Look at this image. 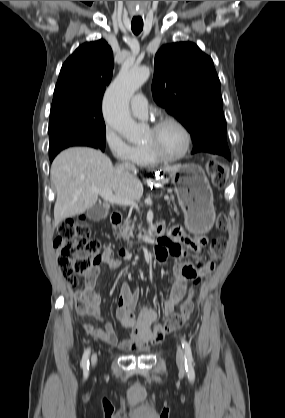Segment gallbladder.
<instances>
[{"mask_svg":"<svg viewBox=\"0 0 285 418\" xmlns=\"http://www.w3.org/2000/svg\"><path fill=\"white\" fill-rule=\"evenodd\" d=\"M107 208L102 204H95L87 210V217L92 221H99L106 218Z\"/></svg>","mask_w":285,"mask_h":418,"instance_id":"obj_1","label":"gallbladder"}]
</instances>
